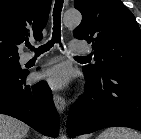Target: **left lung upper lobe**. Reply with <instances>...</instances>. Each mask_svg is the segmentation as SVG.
<instances>
[{
  "instance_id": "1",
  "label": "left lung upper lobe",
  "mask_w": 141,
  "mask_h": 139,
  "mask_svg": "<svg viewBox=\"0 0 141 139\" xmlns=\"http://www.w3.org/2000/svg\"><path fill=\"white\" fill-rule=\"evenodd\" d=\"M83 18L76 39L92 43L94 65L83 69L99 74L107 68L141 71V32L134 15L120 0H75Z\"/></svg>"
}]
</instances>
